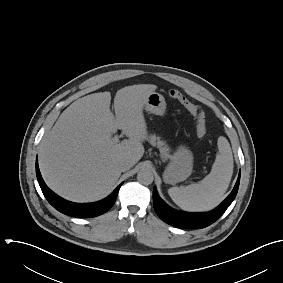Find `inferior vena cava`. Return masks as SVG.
<instances>
[{"label":"inferior vena cava","instance_id":"inferior-vena-cava-1","mask_svg":"<svg viewBox=\"0 0 283 283\" xmlns=\"http://www.w3.org/2000/svg\"><path fill=\"white\" fill-rule=\"evenodd\" d=\"M132 167V164L130 161L122 160L118 163V168L121 172H125L129 170Z\"/></svg>","mask_w":283,"mask_h":283}]
</instances>
